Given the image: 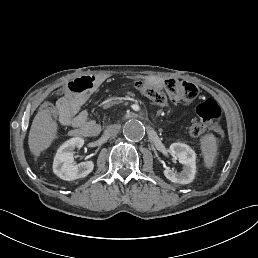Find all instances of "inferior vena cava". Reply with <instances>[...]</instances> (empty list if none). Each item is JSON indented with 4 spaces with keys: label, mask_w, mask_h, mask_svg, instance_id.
<instances>
[{
    "label": "inferior vena cava",
    "mask_w": 258,
    "mask_h": 258,
    "mask_svg": "<svg viewBox=\"0 0 258 258\" xmlns=\"http://www.w3.org/2000/svg\"><path fill=\"white\" fill-rule=\"evenodd\" d=\"M121 129V126L118 125V124H113V125H110L106 128L105 130V134L108 135V136H113V135H116L119 133Z\"/></svg>",
    "instance_id": "602c4592"
}]
</instances>
